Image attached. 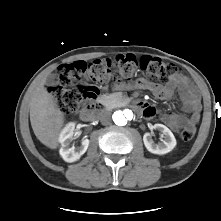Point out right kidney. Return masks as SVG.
Here are the masks:
<instances>
[{"label": "right kidney", "mask_w": 221, "mask_h": 221, "mask_svg": "<svg viewBox=\"0 0 221 221\" xmlns=\"http://www.w3.org/2000/svg\"><path fill=\"white\" fill-rule=\"evenodd\" d=\"M75 129V123H68L60 133L59 142L61 143L60 155L66 162H74L80 159V157L87 151L89 146V139L83 138L81 146L75 148L74 146L70 147V143L73 140V134Z\"/></svg>", "instance_id": "right-kidney-1"}]
</instances>
